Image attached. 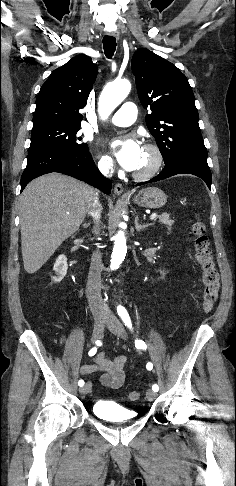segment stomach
Wrapping results in <instances>:
<instances>
[{"instance_id":"0dacf381","label":"stomach","mask_w":236,"mask_h":486,"mask_svg":"<svg viewBox=\"0 0 236 486\" xmlns=\"http://www.w3.org/2000/svg\"><path fill=\"white\" fill-rule=\"evenodd\" d=\"M133 200L139 206L158 209L166 204L167 196L157 187H147L141 189Z\"/></svg>"}]
</instances>
